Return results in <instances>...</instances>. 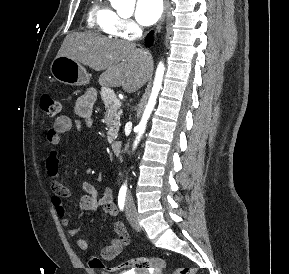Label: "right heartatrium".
I'll use <instances>...</instances> for the list:
<instances>
[{
    "label": "right heart atrium",
    "instance_id": "right-heart-atrium-1",
    "mask_svg": "<svg viewBox=\"0 0 289 274\" xmlns=\"http://www.w3.org/2000/svg\"><path fill=\"white\" fill-rule=\"evenodd\" d=\"M116 28L120 36L130 39L140 33V27L130 18L119 17Z\"/></svg>",
    "mask_w": 289,
    "mask_h": 274
}]
</instances>
